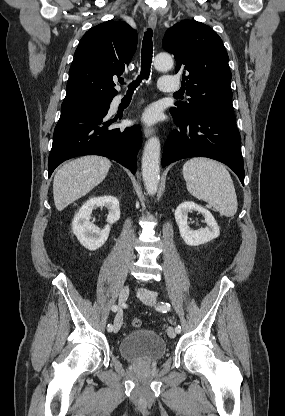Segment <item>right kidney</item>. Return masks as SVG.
<instances>
[{
    "label": "right kidney",
    "mask_w": 285,
    "mask_h": 416,
    "mask_svg": "<svg viewBox=\"0 0 285 416\" xmlns=\"http://www.w3.org/2000/svg\"><path fill=\"white\" fill-rule=\"evenodd\" d=\"M98 206H105L109 210L107 216V226L104 230L96 228L94 224L89 222L92 214V210L98 208ZM120 218V208L117 198L114 196H101V198H90L83 206H81L79 212H77L72 222V232L79 240L80 244L87 248V250H98L108 240L111 224L118 222Z\"/></svg>",
    "instance_id": "1"
}]
</instances>
